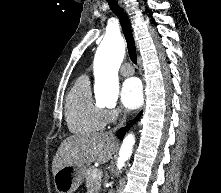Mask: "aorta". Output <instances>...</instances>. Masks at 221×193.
I'll list each match as a JSON object with an SVG mask.
<instances>
[{
  "label": "aorta",
  "mask_w": 221,
  "mask_h": 193,
  "mask_svg": "<svg viewBox=\"0 0 221 193\" xmlns=\"http://www.w3.org/2000/svg\"><path fill=\"white\" fill-rule=\"evenodd\" d=\"M124 53L125 45L120 36L105 37L97 49L95 95L106 104L114 103L118 98L119 84L116 71L124 58ZM134 142L133 134H128L123 140L118 158L119 169L130 158Z\"/></svg>",
  "instance_id": "aorta-1"
}]
</instances>
